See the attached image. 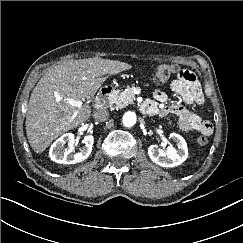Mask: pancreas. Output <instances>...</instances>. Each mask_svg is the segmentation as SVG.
Instances as JSON below:
<instances>
[{
  "mask_svg": "<svg viewBox=\"0 0 243 243\" xmlns=\"http://www.w3.org/2000/svg\"><path fill=\"white\" fill-rule=\"evenodd\" d=\"M134 98H135V95L133 93V88L128 87L124 91L113 92L109 96L108 102L110 105L115 104L116 108H123V107L133 103Z\"/></svg>",
  "mask_w": 243,
  "mask_h": 243,
  "instance_id": "obj_1",
  "label": "pancreas"
}]
</instances>
